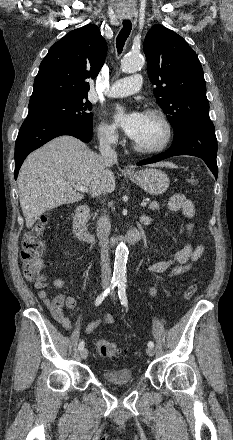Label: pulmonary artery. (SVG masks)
Wrapping results in <instances>:
<instances>
[{"label": "pulmonary artery", "mask_w": 233, "mask_h": 440, "mask_svg": "<svg viewBox=\"0 0 233 440\" xmlns=\"http://www.w3.org/2000/svg\"><path fill=\"white\" fill-rule=\"evenodd\" d=\"M142 76L134 74L114 82L106 91L109 97H124L138 92L142 86Z\"/></svg>", "instance_id": "e3ab8cb5"}]
</instances>
